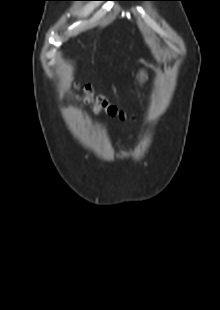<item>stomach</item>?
<instances>
[{"mask_svg": "<svg viewBox=\"0 0 220 310\" xmlns=\"http://www.w3.org/2000/svg\"><path fill=\"white\" fill-rule=\"evenodd\" d=\"M136 78L140 83H144L147 80V71L141 70L136 74Z\"/></svg>", "mask_w": 220, "mask_h": 310, "instance_id": "stomach-1", "label": "stomach"}]
</instances>
